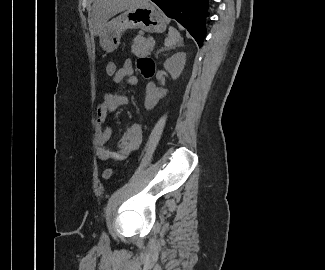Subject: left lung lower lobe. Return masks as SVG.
Listing matches in <instances>:
<instances>
[{"label":"left lung lower lobe","instance_id":"0a47b994","mask_svg":"<svg viewBox=\"0 0 325 270\" xmlns=\"http://www.w3.org/2000/svg\"><path fill=\"white\" fill-rule=\"evenodd\" d=\"M170 18L177 20L202 46L206 35L208 0H152Z\"/></svg>","mask_w":325,"mask_h":270}]
</instances>
